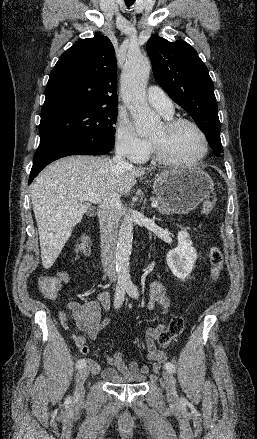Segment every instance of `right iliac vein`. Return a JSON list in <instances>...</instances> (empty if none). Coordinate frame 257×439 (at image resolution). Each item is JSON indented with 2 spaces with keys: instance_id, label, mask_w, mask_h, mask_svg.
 I'll return each mask as SVG.
<instances>
[{
  "instance_id": "63e3f726",
  "label": "right iliac vein",
  "mask_w": 257,
  "mask_h": 439,
  "mask_svg": "<svg viewBox=\"0 0 257 439\" xmlns=\"http://www.w3.org/2000/svg\"><path fill=\"white\" fill-rule=\"evenodd\" d=\"M89 371H90L89 367L84 366L79 370L77 374L75 396L79 400L84 397V382L89 375Z\"/></svg>"
}]
</instances>
